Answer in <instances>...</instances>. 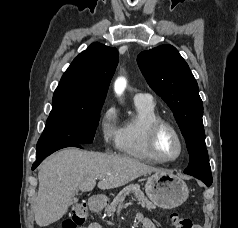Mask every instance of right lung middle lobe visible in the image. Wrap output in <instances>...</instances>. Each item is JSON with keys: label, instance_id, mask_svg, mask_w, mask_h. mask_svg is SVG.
I'll use <instances>...</instances> for the list:
<instances>
[{"label": "right lung middle lobe", "instance_id": "obj_1", "mask_svg": "<svg viewBox=\"0 0 238 228\" xmlns=\"http://www.w3.org/2000/svg\"><path fill=\"white\" fill-rule=\"evenodd\" d=\"M103 104L93 109H66L51 112L37 147L92 143Z\"/></svg>", "mask_w": 238, "mask_h": 228}]
</instances>
